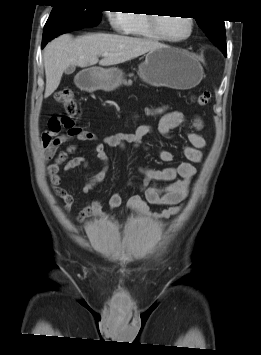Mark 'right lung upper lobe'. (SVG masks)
<instances>
[{"label": "right lung upper lobe", "mask_w": 261, "mask_h": 355, "mask_svg": "<svg viewBox=\"0 0 261 355\" xmlns=\"http://www.w3.org/2000/svg\"><path fill=\"white\" fill-rule=\"evenodd\" d=\"M55 3H59V2H63V1H66V0H53Z\"/></svg>", "instance_id": "right-lung-upper-lobe-1"}]
</instances>
